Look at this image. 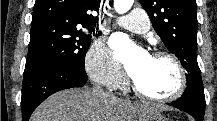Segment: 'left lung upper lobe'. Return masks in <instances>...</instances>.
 I'll use <instances>...</instances> for the list:
<instances>
[{
  "mask_svg": "<svg viewBox=\"0 0 217 121\" xmlns=\"http://www.w3.org/2000/svg\"><path fill=\"white\" fill-rule=\"evenodd\" d=\"M140 3L165 46L186 69L187 85H194L204 97L196 58V0H140Z\"/></svg>",
  "mask_w": 217,
  "mask_h": 121,
  "instance_id": "obj_1",
  "label": "left lung upper lobe"
}]
</instances>
